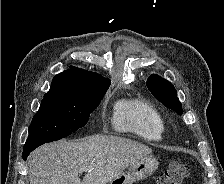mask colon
Listing matches in <instances>:
<instances>
[{
	"label": "colon",
	"instance_id": "colon-1",
	"mask_svg": "<svg viewBox=\"0 0 224 184\" xmlns=\"http://www.w3.org/2000/svg\"><path fill=\"white\" fill-rule=\"evenodd\" d=\"M190 167L184 162H172L159 176L157 184H183L189 176Z\"/></svg>",
	"mask_w": 224,
	"mask_h": 184
}]
</instances>
